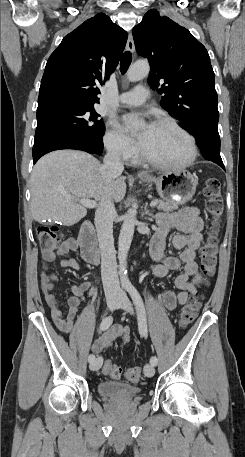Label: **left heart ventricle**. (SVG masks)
Listing matches in <instances>:
<instances>
[{
    "mask_svg": "<svg viewBox=\"0 0 245 457\" xmlns=\"http://www.w3.org/2000/svg\"><path fill=\"white\" fill-rule=\"evenodd\" d=\"M140 150L155 159L178 163L187 157L188 141L174 129L156 127Z\"/></svg>",
    "mask_w": 245,
    "mask_h": 457,
    "instance_id": "1",
    "label": "left heart ventricle"
}]
</instances>
